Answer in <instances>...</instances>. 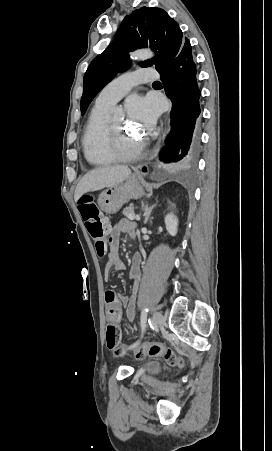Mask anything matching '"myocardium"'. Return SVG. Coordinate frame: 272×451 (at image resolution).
<instances>
[{
  "instance_id": "myocardium-1",
  "label": "myocardium",
  "mask_w": 272,
  "mask_h": 451,
  "mask_svg": "<svg viewBox=\"0 0 272 451\" xmlns=\"http://www.w3.org/2000/svg\"><path fill=\"white\" fill-rule=\"evenodd\" d=\"M104 135H105V139L108 142H114L115 143V138H114L113 130H112V127H111L110 123H107ZM115 148H120V150L122 151L123 155H126V156L130 157L136 151L137 146H133V148H129L126 145L120 146V145L115 143Z\"/></svg>"
}]
</instances>
